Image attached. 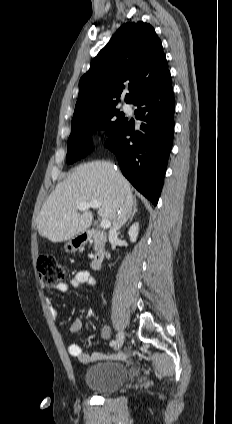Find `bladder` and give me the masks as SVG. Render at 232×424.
I'll return each instance as SVG.
<instances>
[{"label":"bladder","mask_w":232,"mask_h":424,"mask_svg":"<svg viewBox=\"0 0 232 424\" xmlns=\"http://www.w3.org/2000/svg\"><path fill=\"white\" fill-rule=\"evenodd\" d=\"M128 378V368L116 361H102L90 365L84 376L87 388L100 394L118 390Z\"/></svg>","instance_id":"bladder-1"}]
</instances>
